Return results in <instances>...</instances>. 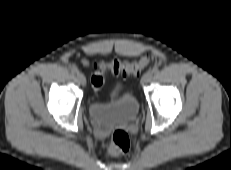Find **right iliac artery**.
Instances as JSON below:
<instances>
[{"instance_id":"right-iliac-artery-1","label":"right iliac artery","mask_w":231,"mask_h":170,"mask_svg":"<svg viewBox=\"0 0 231 170\" xmlns=\"http://www.w3.org/2000/svg\"><path fill=\"white\" fill-rule=\"evenodd\" d=\"M71 73H72V74L78 73V69H77L76 67H72V68H71Z\"/></svg>"}]
</instances>
